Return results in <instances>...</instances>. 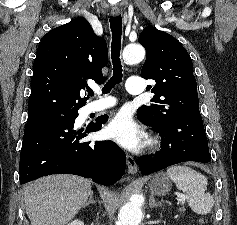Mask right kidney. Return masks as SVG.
I'll use <instances>...</instances> for the list:
<instances>
[{"label": "right kidney", "instance_id": "ca27d5eb", "mask_svg": "<svg viewBox=\"0 0 237 225\" xmlns=\"http://www.w3.org/2000/svg\"><path fill=\"white\" fill-rule=\"evenodd\" d=\"M67 225H84V223L81 220H74Z\"/></svg>", "mask_w": 237, "mask_h": 225}]
</instances>
